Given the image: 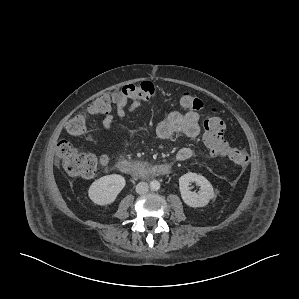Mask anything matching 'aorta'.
I'll use <instances>...</instances> for the list:
<instances>
[{"instance_id": "1", "label": "aorta", "mask_w": 299, "mask_h": 299, "mask_svg": "<svg viewBox=\"0 0 299 299\" xmlns=\"http://www.w3.org/2000/svg\"><path fill=\"white\" fill-rule=\"evenodd\" d=\"M150 188H151V190H153V191H157V190H159V189H160V182L157 181V180H153V181H151V182H150Z\"/></svg>"}]
</instances>
